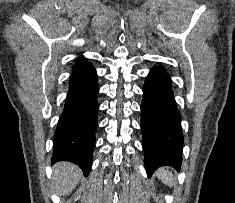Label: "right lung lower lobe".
I'll return each instance as SVG.
<instances>
[{"label": "right lung lower lobe", "instance_id": "1", "mask_svg": "<svg viewBox=\"0 0 235 203\" xmlns=\"http://www.w3.org/2000/svg\"><path fill=\"white\" fill-rule=\"evenodd\" d=\"M73 69L69 94L54 134L51 163H75L87 176L92 166L95 145L99 87L91 63L85 61Z\"/></svg>", "mask_w": 235, "mask_h": 203}]
</instances>
